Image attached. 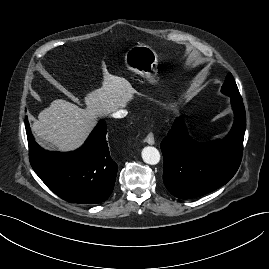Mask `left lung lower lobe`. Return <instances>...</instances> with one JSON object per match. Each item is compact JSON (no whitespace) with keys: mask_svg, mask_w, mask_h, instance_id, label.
Masks as SVG:
<instances>
[{"mask_svg":"<svg viewBox=\"0 0 269 269\" xmlns=\"http://www.w3.org/2000/svg\"><path fill=\"white\" fill-rule=\"evenodd\" d=\"M235 121L223 140L198 143L178 117L161 142L163 181L169 192L181 199L205 195L226 184L239 168L246 128L245 108L240 97H231Z\"/></svg>","mask_w":269,"mask_h":269,"instance_id":"left-lung-lower-lobe-1","label":"left lung lower lobe"}]
</instances>
